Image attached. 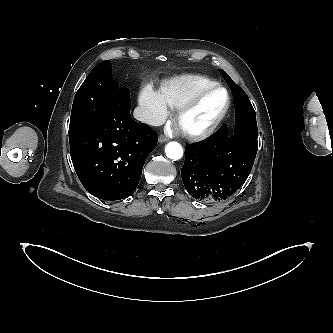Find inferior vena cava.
<instances>
[{
	"instance_id": "1",
	"label": "inferior vena cava",
	"mask_w": 333,
	"mask_h": 333,
	"mask_svg": "<svg viewBox=\"0 0 333 333\" xmlns=\"http://www.w3.org/2000/svg\"><path fill=\"white\" fill-rule=\"evenodd\" d=\"M133 115L137 120L152 126H160L163 124V121L159 120L153 113L140 106L135 108Z\"/></svg>"
}]
</instances>
